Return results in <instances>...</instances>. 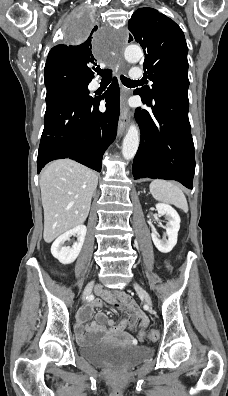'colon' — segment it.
Returning a JSON list of instances; mask_svg holds the SVG:
<instances>
[{
    "instance_id": "5ec220e1",
    "label": "colon",
    "mask_w": 228,
    "mask_h": 396,
    "mask_svg": "<svg viewBox=\"0 0 228 396\" xmlns=\"http://www.w3.org/2000/svg\"><path fill=\"white\" fill-rule=\"evenodd\" d=\"M159 333L155 329H151L146 333V338L149 341H156L158 339Z\"/></svg>"
}]
</instances>
